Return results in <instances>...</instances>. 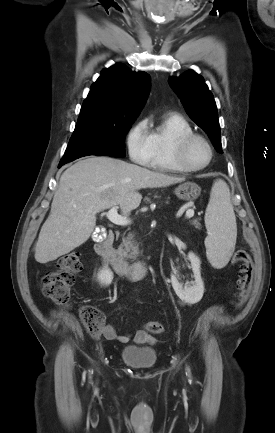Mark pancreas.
Listing matches in <instances>:
<instances>
[{"label":"pancreas","mask_w":275,"mask_h":433,"mask_svg":"<svg viewBox=\"0 0 275 433\" xmlns=\"http://www.w3.org/2000/svg\"><path fill=\"white\" fill-rule=\"evenodd\" d=\"M191 224L194 225L197 229L200 228V223L197 220H193ZM119 251L125 258L134 259L138 255V246L133 241L132 234L128 235L127 238L123 239L119 247Z\"/></svg>","instance_id":"1"}]
</instances>
